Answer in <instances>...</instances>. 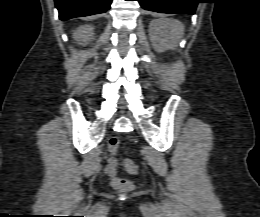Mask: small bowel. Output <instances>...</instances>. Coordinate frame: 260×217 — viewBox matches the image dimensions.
<instances>
[{"label": "small bowel", "instance_id": "obj_1", "mask_svg": "<svg viewBox=\"0 0 260 217\" xmlns=\"http://www.w3.org/2000/svg\"><path fill=\"white\" fill-rule=\"evenodd\" d=\"M107 165L105 167V172L109 176H114L119 168L118 159L115 155V148L110 145V153L107 155Z\"/></svg>", "mask_w": 260, "mask_h": 217}]
</instances>
